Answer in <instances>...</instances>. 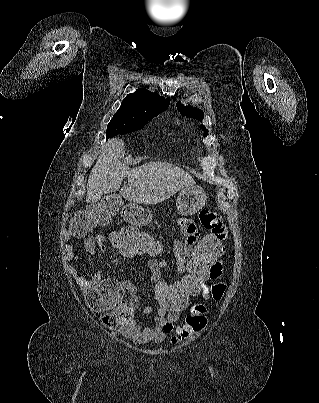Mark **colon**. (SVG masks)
<instances>
[{
	"mask_svg": "<svg viewBox=\"0 0 319 403\" xmlns=\"http://www.w3.org/2000/svg\"><path fill=\"white\" fill-rule=\"evenodd\" d=\"M121 200L119 192H105L104 201L93 206L89 204L87 210L72 219V236L83 237L93 226L108 223L111 217L117 216V210H121ZM199 218L202 225L212 231H207V238H199L198 242L190 239L192 249L183 248L184 251L189 249V258L185 259V267L177 282L157 278L152 283L154 295L151 301L156 304V313H187L184 321L177 323L173 343L190 341L191 337L205 333L212 315L209 304L221 301L227 292L226 281L211 282L210 268L213 263L220 265L228 250L229 238L225 228L228 227V218H221L214 210L202 211ZM102 238L108 249L121 254L122 260H147V268L170 267L162 234H142L141 226H114L113 230L102 234ZM84 249L86 252L96 251L88 249L87 243ZM199 299L201 303L194 305V300Z\"/></svg>",
	"mask_w": 319,
	"mask_h": 403,
	"instance_id": "obj_1",
	"label": "colon"
}]
</instances>
